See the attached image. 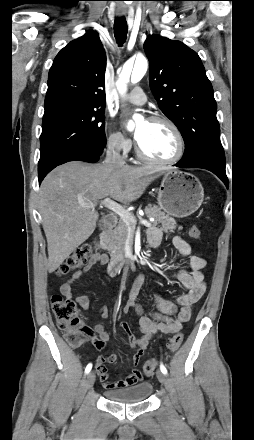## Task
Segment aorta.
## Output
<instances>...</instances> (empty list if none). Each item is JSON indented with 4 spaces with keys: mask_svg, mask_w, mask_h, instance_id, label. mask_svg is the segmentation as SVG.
<instances>
[{
    "mask_svg": "<svg viewBox=\"0 0 254 440\" xmlns=\"http://www.w3.org/2000/svg\"><path fill=\"white\" fill-rule=\"evenodd\" d=\"M148 68L147 59L143 56L136 58L135 62L128 61L123 65V68L116 81V87L121 95H125L127 92V84L130 82V78L134 82L140 81L145 75ZM135 127V123L130 120L128 122V130L132 131Z\"/></svg>",
    "mask_w": 254,
    "mask_h": 440,
    "instance_id": "762f6f07",
    "label": "aorta"
}]
</instances>
